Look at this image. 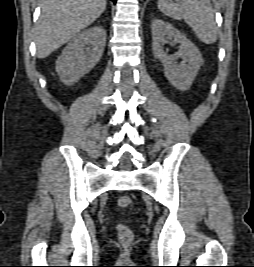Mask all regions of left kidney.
<instances>
[{"label":"left kidney","mask_w":254,"mask_h":267,"mask_svg":"<svg viewBox=\"0 0 254 267\" xmlns=\"http://www.w3.org/2000/svg\"><path fill=\"white\" fill-rule=\"evenodd\" d=\"M151 28L153 55L164 65L166 78L178 90H188L203 63L199 49L178 29L163 20H153ZM167 38L180 44L179 51L173 55H167L163 50ZM178 58L183 60V64H176Z\"/></svg>","instance_id":"obj_1"}]
</instances>
